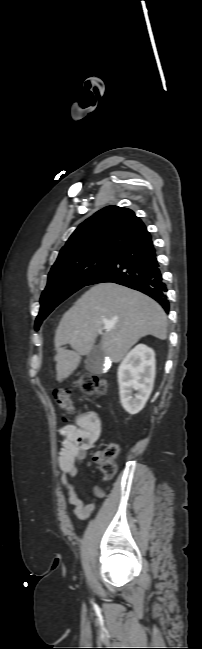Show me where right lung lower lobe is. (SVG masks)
I'll list each match as a JSON object with an SVG mask.
<instances>
[{
  "label": "right lung lower lobe",
  "instance_id": "obj_1",
  "mask_svg": "<svg viewBox=\"0 0 202 649\" xmlns=\"http://www.w3.org/2000/svg\"><path fill=\"white\" fill-rule=\"evenodd\" d=\"M103 282H113L143 292L169 312L167 288L150 234L118 252L99 268L85 286Z\"/></svg>",
  "mask_w": 202,
  "mask_h": 649
}]
</instances>
